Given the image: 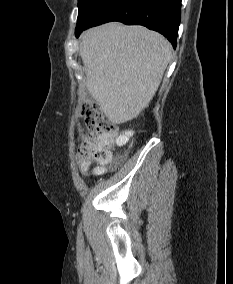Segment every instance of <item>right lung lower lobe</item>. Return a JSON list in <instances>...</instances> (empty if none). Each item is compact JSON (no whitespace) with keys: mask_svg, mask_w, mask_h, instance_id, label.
Here are the masks:
<instances>
[{"mask_svg":"<svg viewBox=\"0 0 233 284\" xmlns=\"http://www.w3.org/2000/svg\"><path fill=\"white\" fill-rule=\"evenodd\" d=\"M180 19L181 0H110L75 34L78 37L87 28L119 21L127 25H143L157 31L175 48Z\"/></svg>","mask_w":233,"mask_h":284,"instance_id":"98d812e1","label":"right lung lower lobe"}]
</instances>
